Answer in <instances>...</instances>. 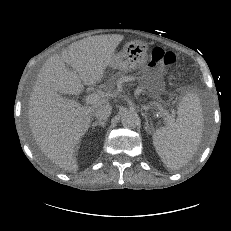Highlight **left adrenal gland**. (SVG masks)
<instances>
[{
    "mask_svg": "<svg viewBox=\"0 0 231 231\" xmlns=\"http://www.w3.org/2000/svg\"><path fill=\"white\" fill-rule=\"evenodd\" d=\"M142 116L145 118V129H146V132L148 134L151 133V129H152V123L149 124V120L147 118V115L145 113H142Z\"/></svg>",
    "mask_w": 231,
    "mask_h": 231,
    "instance_id": "obj_1",
    "label": "left adrenal gland"
}]
</instances>
